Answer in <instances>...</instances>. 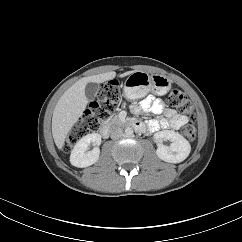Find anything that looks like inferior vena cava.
I'll return each mask as SVG.
<instances>
[{"label": "inferior vena cava", "instance_id": "obj_1", "mask_svg": "<svg viewBox=\"0 0 242 242\" xmlns=\"http://www.w3.org/2000/svg\"><path fill=\"white\" fill-rule=\"evenodd\" d=\"M123 135V130L119 127H115L111 131V138L112 139H119Z\"/></svg>", "mask_w": 242, "mask_h": 242}]
</instances>
